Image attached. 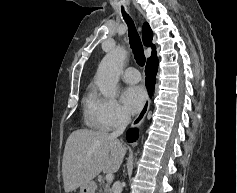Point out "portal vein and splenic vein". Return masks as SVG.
I'll return each mask as SVG.
<instances>
[{
	"label": "portal vein and splenic vein",
	"mask_w": 237,
	"mask_h": 193,
	"mask_svg": "<svg viewBox=\"0 0 237 193\" xmlns=\"http://www.w3.org/2000/svg\"><path fill=\"white\" fill-rule=\"evenodd\" d=\"M114 178L113 174L112 173H107L106 176H105V179L107 181H112Z\"/></svg>",
	"instance_id": "1"
}]
</instances>
